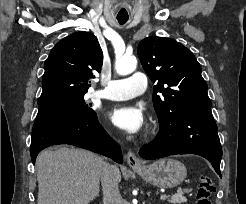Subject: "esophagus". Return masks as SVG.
<instances>
[{
    "label": "esophagus",
    "mask_w": 246,
    "mask_h": 204,
    "mask_svg": "<svg viewBox=\"0 0 246 204\" xmlns=\"http://www.w3.org/2000/svg\"><path fill=\"white\" fill-rule=\"evenodd\" d=\"M126 160L128 165L132 168H138L142 166L141 160L138 159L132 151H128L126 155Z\"/></svg>",
    "instance_id": "obj_1"
}]
</instances>
